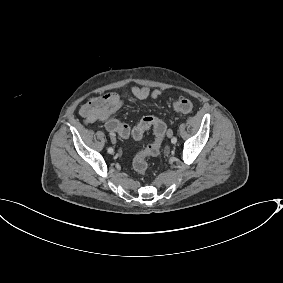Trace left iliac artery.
<instances>
[{
    "mask_svg": "<svg viewBox=\"0 0 283 283\" xmlns=\"http://www.w3.org/2000/svg\"><path fill=\"white\" fill-rule=\"evenodd\" d=\"M171 142L175 144V143L177 142V138H176V137H173V138L171 139Z\"/></svg>",
    "mask_w": 283,
    "mask_h": 283,
    "instance_id": "obj_1",
    "label": "left iliac artery"
}]
</instances>
